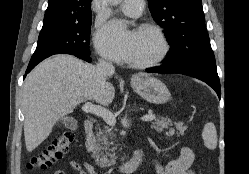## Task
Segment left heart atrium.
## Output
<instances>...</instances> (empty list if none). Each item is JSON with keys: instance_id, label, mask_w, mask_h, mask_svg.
<instances>
[{"instance_id": "left-heart-atrium-1", "label": "left heart atrium", "mask_w": 249, "mask_h": 174, "mask_svg": "<svg viewBox=\"0 0 249 174\" xmlns=\"http://www.w3.org/2000/svg\"><path fill=\"white\" fill-rule=\"evenodd\" d=\"M135 32L124 33L121 22L107 24L96 36L98 48L117 61H129L132 55Z\"/></svg>"}]
</instances>
